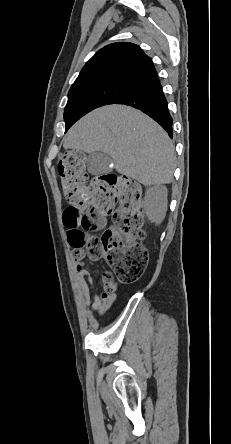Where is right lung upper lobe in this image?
Here are the masks:
<instances>
[{"label":"right lung upper lobe","mask_w":231,"mask_h":444,"mask_svg":"<svg viewBox=\"0 0 231 444\" xmlns=\"http://www.w3.org/2000/svg\"><path fill=\"white\" fill-rule=\"evenodd\" d=\"M158 78L150 57L132 43L120 42L100 49L82 68L70 90L114 83L130 90Z\"/></svg>","instance_id":"right-lung-upper-lobe-1"}]
</instances>
